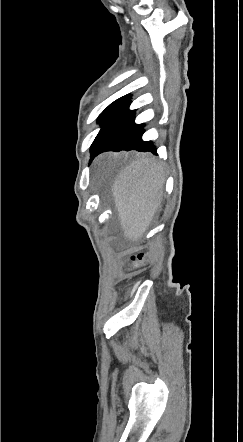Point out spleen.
Segmentation results:
<instances>
[{"mask_svg":"<svg viewBox=\"0 0 243 442\" xmlns=\"http://www.w3.org/2000/svg\"><path fill=\"white\" fill-rule=\"evenodd\" d=\"M158 167L143 157L136 163L127 167L121 178H114L111 184L119 187L116 201L120 202L122 222L125 234L138 236L147 228L150 215L155 214L157 193H134V192H158L160 186L154 178Z\"/></svg>","mask_w":243,"mask_h":442,"instance_id":"obj_1","label":"spleen"}]
</instances>
